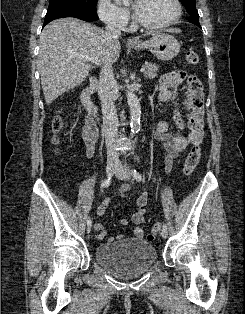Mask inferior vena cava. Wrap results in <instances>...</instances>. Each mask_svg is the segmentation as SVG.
I'll return each mask as SVG.
<instances>
[{
    "mask_svg": "<svg viewBox=\"0 0 245 314\" xmlns=\"http://www.w3.org/2000/svg\"><path fill=\"white\" fill-rule=\"evenodd\" d=\"M106 30L114 36H121V31L116 29L110 22ZM98 94L101 99L103 131L105 135L107 160L118 163L119 155L117 152L118 120L116 113V82L113 76L112 64H105L99 76Z\"/></svg>",
    "mask_w": 245,
    "mask_h": 314,
    "instance_id": "obj_1",
    "label": "inferior vena cava"
}]
</instances>
